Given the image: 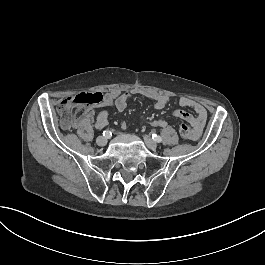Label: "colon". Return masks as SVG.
<instances>
[{"instance_id":"1","label":"colon","mask_w":265,"mask_h":265,"mask_svg":"<svg viewBox=\"0 0 265 265\" xmlns=\"http://www.w3.org/2000/svg\"><path fill=\"white\" fill-rule=\"evenodd\" d=\"M103 95L96 91L78 92L69 96L66 101H63L60 106L61 117L59 122L61 126L68 128L72 126L74 117L76 116V109L85 106H96L103 102ZM180 136L184 140H191L190 131H186L182 125L179 129Z\"/></svg>"}]
</instances>
